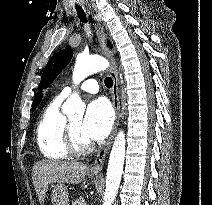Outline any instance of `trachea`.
<instances>
[{
	"instance_id": "1",
	"label": "trachea",
	"mask_w": 212,
	"mask_h": 205,
	"mask_svg": "<svg viewBox=\"0 0 212 205\" xmlns=\"http://www.w3.org/2000/svg\"><path fill=\"white\" fill-rule=\"evenodd\" d=\"M76 11L78 14V18L81 21L86 22V15H85L83 9L80 6H76ZM104 83L107 88H111L113 86V80L110 77H106L104 80Z\"/></svg>"
}]
</instances>
